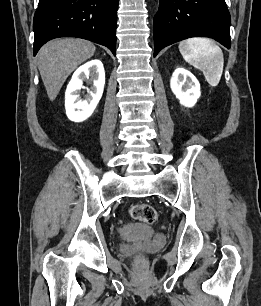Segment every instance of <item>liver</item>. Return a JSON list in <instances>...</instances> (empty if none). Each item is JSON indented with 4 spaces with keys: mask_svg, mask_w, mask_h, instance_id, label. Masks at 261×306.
I'll use <instances>...</instances> for the list:
<instances>
[{
    "mask_svg": "<svg viewBox=\"0 0 261 306\" xmlns=\"http://www.w3.org/2000/svg\"><path fill=\"white\" fill-rule=\"evenodd\" d=\"M96 47L84 39L63 38L46 43L38 52V69L47 95L53 101L67 77L91 58Z\"/></svg>",
    "mask_w": 261,
    "mask_h": 306,
    "instance_id": "6515ba94",
    "label": "liver"
}]
</instances>
